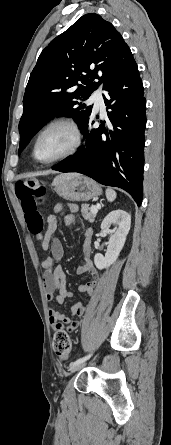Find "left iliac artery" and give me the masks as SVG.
I'll use <instances>...</instances> for the list:
<instances>
[{"label":"left iliac artery","mask_w":171,"mask_h":445,"mask_svg":"<svg viewBox=\"0 0 171 445\" xmlns=\"http://www.w3.org/2000/svg\"><path fill=\"white\" fill-rule=\"evenodd\" d=\"M91 356H92V354H89V355H87V356L81 357V358L77 359L76 361L72 362V363L70 364V369H72V368H74L75 366H77L78 364H80V363L86 361V360L89 359Z\"/></svg>","instance_id":"44dca946"}]
</instances>
